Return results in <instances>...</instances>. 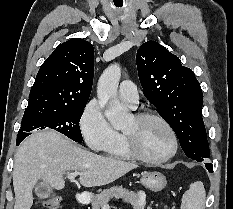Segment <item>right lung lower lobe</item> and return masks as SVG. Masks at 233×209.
<instances>
[{"label":"right lung lower lobe","instance_id":"98d812e1","mask_svg":"<svg viewBox=\"0 0 233 209\" xmlns=\"http://www.w3.org/2000/svg\"><path fill=\"white\" fill-rule=\"evenodd\" d=\"M22 141L23 139H17V145H19Z\"/></svg>","mask_w":233,"mask_h":209}]
</instances>
